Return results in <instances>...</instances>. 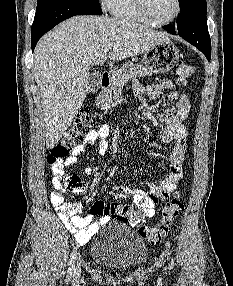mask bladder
<instances>
[{
    "instance_id": "1",
    "label": "bladder",
    "mask_w": 233,
    "mask_h": 286,
    "mask_svg": "<svg viewBox=\"0 0 233 286\" xmlns=\"http://www.w3.org/2000/svg\"><path fill=\"white\" fill-rule=\"evenodd\" d=\"M147 254L143 239L121 222L109 223L98 235L90 252L93 263L117 272L141 266Z\"/></svg>"
}]
</instances>
